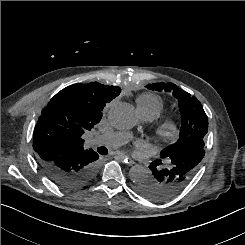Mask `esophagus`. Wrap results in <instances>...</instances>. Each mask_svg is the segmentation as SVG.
I'll list each match as a JSON object with an SVG mask.
<instances>
[{
	"mask_svg": "<svg viewBox=\"0 0 245 245\" xmlns=\"http://www.w3.org/2000/svg\"><path fill=\"white\" fill-rule=\"evenodd\" d=\"M116 158L122 160L126 165L134 164V161L125 154H117Z\"/></svg>",
	"mask_w": 245,
	"mask_h": 245,
	"instance_id": "obj_1",
	"label": "esophagus"
}]
</instances>
